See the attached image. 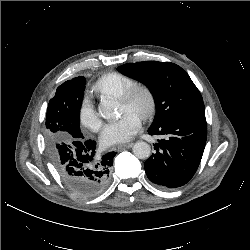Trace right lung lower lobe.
<instances>
[{
	"label": "right lung lower lobe",
	"instance_id": "1",
	"mask_svg": "<svg viewBox=\"0 0 250 250\" xmlns=\"http://www.w3.org/2000/svg\"><path fill=\"white\" fill-rule=\"evenodd\" d=\"M96 142L84 137L56 146L51 160L67 186L77 195L90 198L100 194L109 183L115 152L97 156Z\"/></svg>",
	"mask_w": 250,
	"mask_h": 250
}]
</instances>
